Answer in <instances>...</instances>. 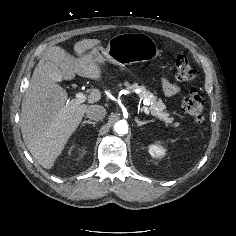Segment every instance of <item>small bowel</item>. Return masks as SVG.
Here are the masks:
<instances>
[{
    "mask_svg": "<svg viewBox=\"0 0 236 236\" xmlns=\"http://www.w3.org/2000/svg\"><path fill=\"white\" fill-rule=\"evenodd\" d=\"M162 88L167 96H174L179 92V87L167 79H162Z\"/></svg>",
    "mask_w": 236,
    "mask_h": 236,
    "instance_id": "obj_1",
    "label": "small bowel"
}]
</instances>
